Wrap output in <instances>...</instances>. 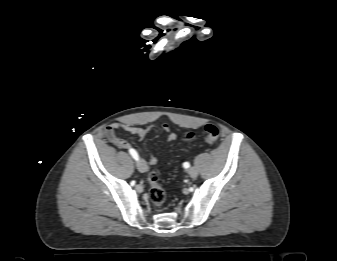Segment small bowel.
I'll use <instances>...</instances> for the list:
<instances>
[{
    "instance_id": "obj_1",
    "label": "small bowel",
    "mask_w": 337,
    "mask_h": 261,
    "mask_svg": "<svg viewBox=\"0 0 337 261\" xmlns=\"http://www.w3.org/2000/svg\"><path fill=\"white\" fill-rule=\"evenodd\" d=\"M125 130L126 132L130 133L134 137H136L138 140H142L147 136L149 132H151L154 129H159L162 132L166 133L168 142H173L176 140L177 136L175 133L170 132L169 126L165 123L162 124H152L145 127L140 126H134L129 124H120V123H112L110 125H107L103 129L104 135L107 137V139L117 148L124 149V150H130L131 148L129 142L125 140L124 138H121L117 135V130ZM147 164L154 165L157 163L158 158L153 155H149L146 159H143Z\"/></svg>"
}]
</instances>
